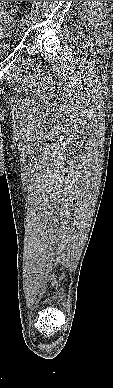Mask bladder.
I'll return each mask as SVG.
<instances>
[{"instance_id": "31cf9c89", "label": "bladder", "mask_w": 113, "mask_h": 388, "mask_svg": "<svg viewBox=\"0 0 113 388\" xmlns=\"http://www.w3.org/2000/svg\"><path fill=\"white\" fill-rule=\"evenodd\" d=\"M13 27V22L10 19L0 21V58L7 56L10 52V44L5 40V37L10 34Z\"/></svg>"}]
</instances>
